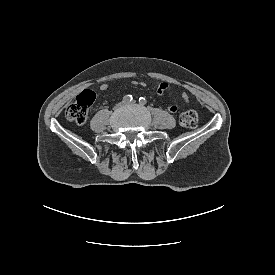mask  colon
I'll return each mask as SVG.
<instances>
[{
    "label": "colon",
    "mask_w": 275,
    "mask_h": 275,
    "mask_svg": "<svg viewBox=\"0 0 275 275\" xmlns=\"http://www.w3.org/2000/svg\"><path fill=\"white\" fill-rule=\"evenodd\" d=\"M94 99L95 93L92 90L86 89L81 92L77 96L76 100L66 108V118L78 125L84 124L87 120L89 107L93 103ZM197 122L198 114L194 110H188L182 113L179 117L180 125L186 128L195 127Z\"/></svg>",
    "instance_id": "5ec220e1"
}]
</instances>
